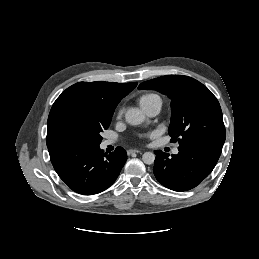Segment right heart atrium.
Returning a JSON list of instances; mask_svg holds the SVG:
<instances>
[{
    "mask_svg": "<svg viewBox=\"0 0 259 259\" xmlns=\"http://www.w3.org/2000/svg\"><path fill=\"white\" fill-rule=\"evenodd\" d=\"M122 113H123V111H122L121 109L117 112V118H118V119L121 118Z\"/></svg>",
    "mask_w": 259,
    "mask_h": 259,
    "instance_id": "d8ad5b80",
    "label": "right heart atrium"
}]
</instances>
